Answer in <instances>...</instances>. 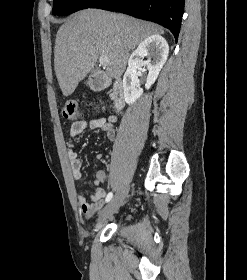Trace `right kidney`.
Returning <instances> with one entry per match:
<instances>
[{
	"label": "right kidney",
	"mask_w": 247,
	"mask_h": 280,
	"mask_svg": "<svg viewBox=\"0 0 247 280\" xmlns=\"http://www.w3.org/2000/svg\"><path fill=\"white\" fill-rule=\"evenodd\" d=\"M169 54L167 41L159 34L145 38L132 53L128 61V68L123 77L124 98L127 104H133L143 94V89L139 87L136 72L142 67H147L145 88L149 89L156 81ZM147 56L148 60L143 61Z\"/></svg>",
	"instance_id": "ca27d5eb"
}]
</instances>
